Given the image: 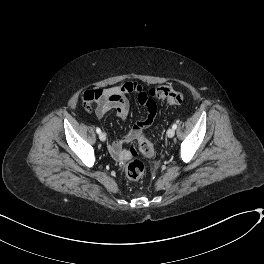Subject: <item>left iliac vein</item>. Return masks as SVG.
Wrapping results in <instances>:
<instances>
[{"label":"left iliac vein","mask_w":264,"mask_h":264,"mask_svg":"<svg viewBox=\"0 0 264 264\" xmlns=\"http://www.w3.org/2000/svg\"><path fill=\"white\" fill-rule=\"evenodd\" d=\"M174 135H175V129L169 128L168 131H167V136L169 138H172Z\"/></svg>","instance_id":"4c4485c4"}]
</instances>
